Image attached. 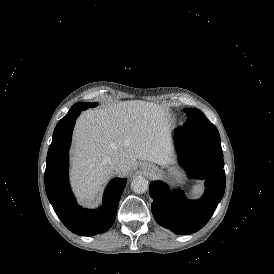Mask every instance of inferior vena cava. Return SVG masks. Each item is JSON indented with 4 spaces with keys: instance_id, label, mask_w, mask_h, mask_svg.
<instances>
[{
    "instance_id": "1",
    "label": "inferior vena cava",
    "mask_w": 274,
    "mask_h": 274,
    "mask_svg": "<svg viewBox=\"0 0 274 274\" xmlns=\"http://www.w3.org/2000/svg\"><path fill=\"white\" fill-rule=\"evenodd\" d=\"M109 164L112 166L113 169L115 170H120L122 169L124 166L120 163L118 158H115L114 160H109Z\"/></svg>"
}]
</instances>
